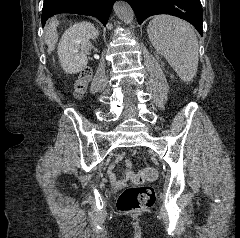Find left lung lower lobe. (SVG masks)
<instances>
[{"instance_id": "1", "label": "left lung lower lobe", "mask_w": 240, "mask_h": 238, "mask_svg": "<svg viewBox=\"0 0 240 238\" xmlns=\"http://www.w3.org/2000/svg\"><path fill=\"white\" fill-rule=\"evenodd\" d=\"M141 24L147 17L168 14L191 23L202 35L203 12L200 0H125Z\"/></svg>"}]
</instances>
